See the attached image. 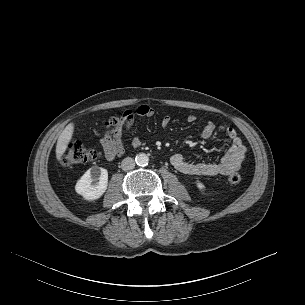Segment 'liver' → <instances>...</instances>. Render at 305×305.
<instances>
[{"instance_id":"6515ba94","label":"liver","mask_w":305,"mask_h":305,"mask_svg":"<svg viewBox=\"0 0 305 305\" xmlns=\"http://www.w3.org/2000/svg\"><path fill=\"white\" fill-rule=\"evenodd\" d=\"M74 132V124H68L62 133L59 135L57 144H56V158L58 161L61 160L63 154L65 153L69 142L72 139Z\"/></svg>"}]
</instances>
